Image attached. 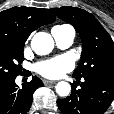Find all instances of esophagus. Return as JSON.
<instances>
[{
    "mask_svg": "<svg viewBox=\"0 0 114 114\" xmlns=\"http://www.w3.org/2000/svg\"><path fill=\"white\" fill-rule=\"evenodd\" d=\"M43 83L45 84V85H50V84H55L56 83V81H51V80H43Z\"/></svg>",
    "mask_w": 114,
    "mask_h": 114,
    "instance_id": "obj_1",
    "label": "esophagus"
}]
</instances>
